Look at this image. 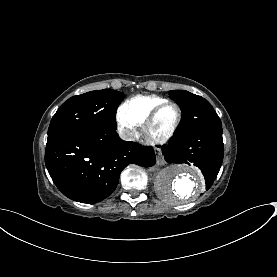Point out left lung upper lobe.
<instances>
[{
  "instance_id": "1",
  "label": "left lung upper lobe",
  "mask_w": 277,
  "mask_h": 277,
  "mask_svg": "<svg viewBox=\"0 0 277 277\" xmlns=\"http://www.w3.org/2000/svg\"><path fill=\"white\" fill-rule=\"evenodd\" d=\"M170 98L177 102L183 114L179 134L189 133L210 126H222L213 107L201 96L185 90L169 91Z\"/></svg>"
}]
</instances>
